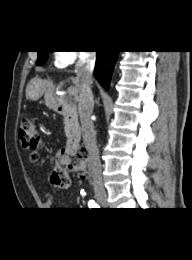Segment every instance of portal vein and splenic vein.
Wrapping results in <instances>:
<instances>
[{
	"label": "portal vein and splenic vein",
	"instance_id": "1",
	"mask_svg": "<svg viewBox=\"0 0 192 260\" xmlns=\"http://www.w3.org/2000/svg\"><path fill=\"white\" fill-rule=\"evenodd\" d=\"M68 94H69L70 96H75V95H77V90H76L74 87L69 88V89H68Z\"/></svg>",
	"mask_w": 192,
	"mask_h": 260
}]
</instances>
